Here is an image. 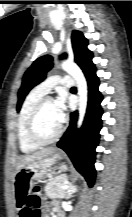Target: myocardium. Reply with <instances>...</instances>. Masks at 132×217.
<instances>
[{
    "label": "myocardium",
    "mask_w": 132,
    "mask_h": 217,
    "mask_svg": "<svg viewBox=\"0 0 132 217\" xmlns=\"http://www.w3.org/2000/svg\"><path fill=\"white\" fill-rule=\"evenodd\" d=\"M53 102V99L51 97H43L33 108L31 111L28 121H27V135L29 140L34 143L37 146H46L50 145L54 142H56L60 136L63 133V126L60 125L58 131L56 134L49 138V139H44L40 136L38 129H37V121L39 118V115L43 108L45 107L46 104Z\"/></svg>",
    "instance_id": "1"
}]
</instances>
